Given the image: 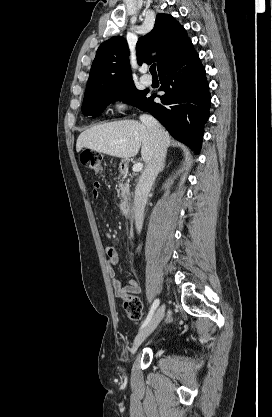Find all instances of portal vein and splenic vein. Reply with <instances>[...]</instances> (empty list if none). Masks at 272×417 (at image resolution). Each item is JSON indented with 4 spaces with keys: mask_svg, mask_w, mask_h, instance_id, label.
<instances>
[{
    "mask_svg": "<svg viewBox=\"0 0 272 417\" xmlns=\"http://www.w3.org/2000/svg\"><path fill=\"white\" fill-rule=\"evenodd\" d=\"M143 169V163H136L133 165L132 170L133 172H140Z\"/></svg>",
    "mask_w": 272,
    "mask_h": 417,
    "instance_id": "18ae733b",
    "label": "portal vein and splenic vein"
}]
</instances>
